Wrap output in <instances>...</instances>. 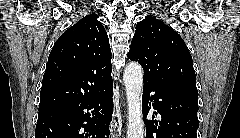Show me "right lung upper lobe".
<instances>
[{"label":"right lung upper lobe","mask_w":240,"mask_h":138,"mask_svg":"<svg viewBox=\"0 0 240 138\" xmlns=\"http://www.w3.org/2000/svg\"><path fill=\"white\" fill-rule=\"evenodd\" d=\"M96 14L82 18L54 44L43 76L39 111L87 96L111 80V50Z\"/></svg>","instance_id":"cb5924a9"}]
</instances>
